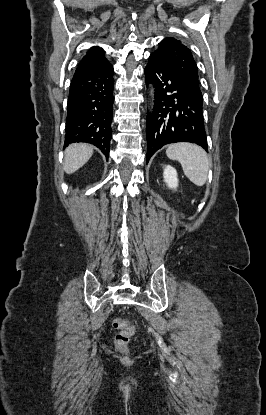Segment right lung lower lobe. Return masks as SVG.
<instances>
[{"label":"right lung lower lobe","mask_w":266,"mask_h":415,"mask_svg":"<svg viewBox=\"0 0 266 415\" xmlns=\"http://www.w3.org/2000/svg\"><path fill=\"white\" fill-rule=\"evenodd\" d=\"M113 67L73 77L68 97L65 145L87 142L108 158L112 137Z\"/></svg>","instance_id":"obj_1"}]
</instances>
